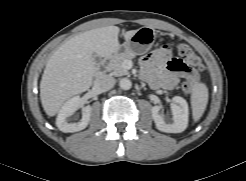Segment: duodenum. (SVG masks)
Instances as JSON below:
<instances>
[{
  "mask_svg": "<svg viewBox=\"0 0 246 181\" xmlns=\"http://www.w3.org/2000/svg\"><path fill=\"white\" fill-rule=\"evenodd\" d=\"M111 57H112L111 54H109V55H107V56L104 58V60H103V62H102V64H101V66H100V68H99V70H98L97 75H101V74L104 72V70L106 69V66L108 65V63H109Z\"/></svg>",
  "mask_w": 246,
  "mask_h": 181,
  "instance_id": "obj_1",
  "label": "duodenum"
}]
</instances>
